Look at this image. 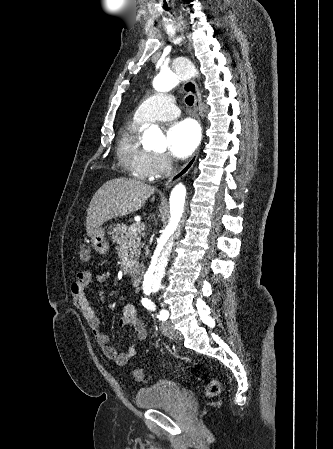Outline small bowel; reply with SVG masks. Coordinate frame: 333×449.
I'll list each match as a JSON object with an SVG mask.
<instances>
[{"instance_id": "small-bowel-1", "label": "small bowel", "mask_w": 333, "mask_h": 449, "mask_svg": "<svg viewBox=\"0 0 333 449\" xmlns=\"http://www.w3.org/2000/svg\"><path fill=\"white\" fill-rule=\"evenodd\" d=\"M108 278L109 275L106 272L98 273L93 278L89 271H80L71 285V295L74 306L81 313L103 354L117 365L123 366L134 357L135 347L145 340L147 331L136 308L132 304H126L119 321V327L126 331L133 330L134 340L124 352H118L111 346L110 339L102 332L97 313L86 296V289L90 284H104Z\"/></svg>"}]
</instances>
